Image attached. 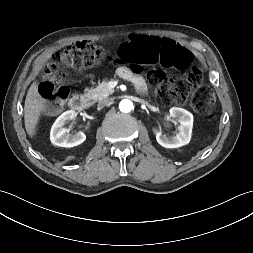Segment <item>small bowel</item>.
<instances>
[{
  "instance_id": "1",
  "label": "small bowel",
  "mask_w": 253,
  "mask_h": 253,
  "mask_svg": "<svg viewBox=\"0 0 253 253\" xmlns=\"http://www.w3.org/2000/svg\"><path fill=\"white\" fill-rule=\"evenodd\" d=\"M117 73L120 77L124 79L134 80L139 92L143 93L146 90L144 81L140 79L132 69L125 66H121L118 68Z\"/></svg>"
}]
</instances>
